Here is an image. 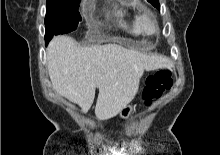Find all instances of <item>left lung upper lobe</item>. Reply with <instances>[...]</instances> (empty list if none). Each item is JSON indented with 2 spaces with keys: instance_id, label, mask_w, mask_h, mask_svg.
Segmentation results:
<instances>
[{
  "instance_id": "obj_1",
  "label": "left lung upper lobe",
  "mask_w": 220,
  "mask_h": 155,
  "mask_svg": "<svg viewBox=\"0 0 220 155\" xmlns=\"http://www.w3.org/2000/svg\"><path fill=\"white\" fill-rule=\"evenodd\" d=\"M154 7L160 9L159 1L158 0H148Z\"/></svg>"
}]
</instances>
